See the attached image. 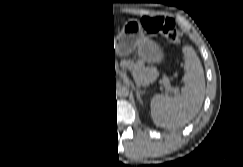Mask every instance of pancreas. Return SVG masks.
Wrapping results in <instances>:
<instances>
[{
  "mask_svg": "<svg viewBox=\"0 0 243 167\" xmlns=\"http://www.w3.org/2000/svg\"><path fill=\"white\" fill-rule=\"evenodd\" d=\"M123 69H128L132 72L133 78L137 84L148 85L152 83L159 75L155 67H145L142 60L137 62L131 60H123L121 62ZM162 84L165 88L170 87V80L168 77L163 76Z\"/></svg>",
  "mask_w": 243,
  "mask_h": 167,
  "instance_id": "cf45deb5",
  "label": "pancreas"
}]
</instances>
